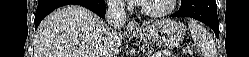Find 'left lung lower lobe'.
<instances>
[{
  "label": "left lung lower lobe",
  "mask_w": 249,
  "mask_h": 57,
  "mask_svg": "<svg viewBox=\"0 0 249 57\" xmlns=\"http://www.w3.org/2000/svg\"><path fill=\"white\" fill-rule=\"evenodd\" d=\"M170 17H191L211 27L219 37V21L215 0H181L180 9Z\"/></svg>",
  "instance_id": "0a47b994"
}]
</instances>
